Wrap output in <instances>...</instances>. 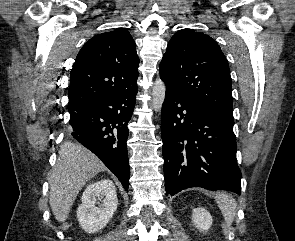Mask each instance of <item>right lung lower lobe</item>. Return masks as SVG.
Masks as SVG:
<instances>
[{"label":"right lung lower lobe","instance_id":"1","mask_svg":"<svg viewBox=\"0 0 295 241\" xmlns=\"http://www.w3.org/2000/svg\"><path fill=\"white\" fill-rule=\"evenodd\" d=\"M128 90L98 96L68 110L73 138L96 154L122 183L129 187L130 167L126 141L137 94Z\"/></svg>","mask_w":295,"mask_h":241}]
</instances>
